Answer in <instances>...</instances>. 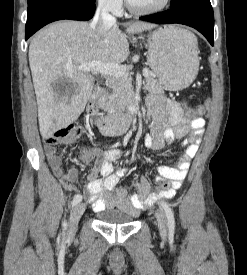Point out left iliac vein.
<instances>
[{
    "instance_id": "obj_1",
    "label": "left iliac vein",
    "mask_w": 247,
    "mask_h": 275,
    "mask_svg": "<svg viewBox=\"0 0 247 275\" xmlns=\"http://www.w3.org/2000/svg\"><path fill=\"white\" fill-rule=\"evenodd\" d=\"M155 216H156V220H157V224H158V229H159L160 235L163 238H165L167 236V221H166V217L160 211H157L155 213Z\"/></svg>"
}]
</instances>
